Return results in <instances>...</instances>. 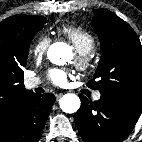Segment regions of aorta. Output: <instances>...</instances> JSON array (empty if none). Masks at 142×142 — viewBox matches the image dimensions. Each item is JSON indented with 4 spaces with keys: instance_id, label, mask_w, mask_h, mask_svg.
Segmentation results:
<instances>
[{
    "instance_id": "1",
    "label": "aorta",
    "mask_w": 142,
    "mask_h": 142,
    "mask_svg": "<svg viewBox=\"0 0 142 142\" xmlns=\"http://www.w3.org/2000/svg\"><path fill=\"white\" fill-rule=\"evenodd\" d=\"M72 50L70 46L63 42L52 44L48 49L49 60L56 65H64L71 57ZM60 108L65 113H75L81 105L80 98L73 93L65 94L60 99Z\"/></svg>"
}]
</instances>
